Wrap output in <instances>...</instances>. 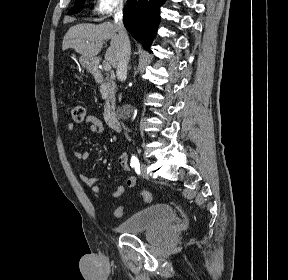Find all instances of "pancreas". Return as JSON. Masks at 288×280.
<instances>
[{
	"label": "pancreas",
	"instance_id": "obj_1",
	"mask_svg": "<svg viewBox=\"0 0 288 280\" xmlns=\"http://www.w3.org/2000/svg\"><path fill=\"white\" fill-rule=\"evenodd\" d=\"M100 93L103 99H106L108 97V91L104 87L100 88Z\"/></svg>",
	"mask_w": 288,
	"mask_h": 280
}]
</instances>
